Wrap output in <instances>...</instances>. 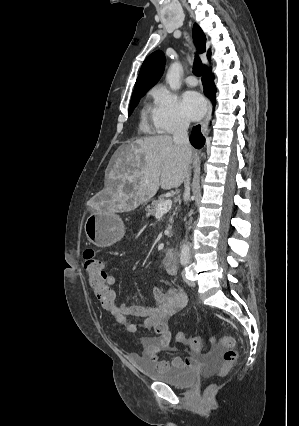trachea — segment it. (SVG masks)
<instances>
[{
	"label": "trachea",
	"instance_id": "trachea-1",
	"mask_svg": "<svg viewBox=\"0 0 299 426\" xmlns=\"http://www.w3.org/2000/svg\"><path fill=\"white\" fill-rule=\"evenodd\" d=\"M193 70L197 76H201L203 73V65L201 60L198 57H195L194 59Z\"/></svg>",
	"mask_w": 299,
	"mask_h": 426
}]
</instances>
